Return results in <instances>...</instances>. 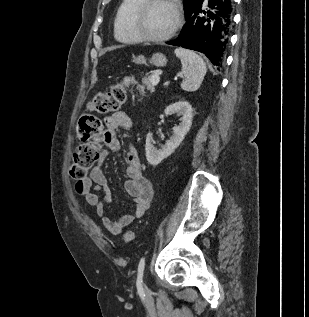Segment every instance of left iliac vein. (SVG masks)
I'll use <instances>...</instances> for the list:
<instances>
[{"label":"left iliac vein","instance_id":"1","mask_svg":"<svg viewBox=\"0 0 309 317\" xmlns=\"http://www.w3.org/2000/svg\"><path fill=\"white\" fill-rule=\"evenodd\" d=\"M144 289H145V291L147 290V286L144 284Z\"/></svg>","mask_w":309,"mask_h":317}]
</instances>
